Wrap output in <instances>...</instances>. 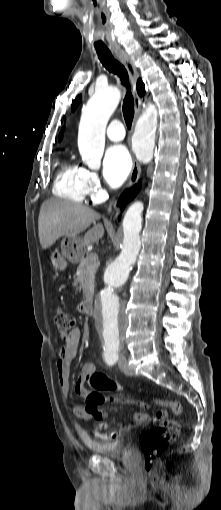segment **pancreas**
Returning <instances> with one entry per match:
<instances>
[{"label":"pancreas","instance_id":"obj_1","mask_svg":"<svg viewBox=\"0 0 221 510\" xmlns=\"http://www.w3.org/2000/svg\"><path fill=\"white\" fill-rule=\"evenodd\" d=\"M92 255L93 253H90L82 259L77 269L79 274L76 281L80 283V289H83L85 296L89 294L90 287L94 284V276L97 270L98 260H93Z\"/></svg>","mask_w":221,"mask_h":510}]
</instances>
